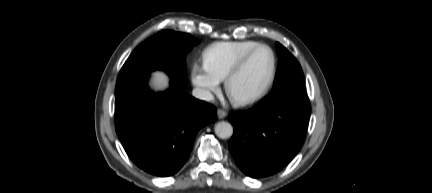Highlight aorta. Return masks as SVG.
Masks as SVG:
<instances>
[{
    "label": "aorta",
    "instance_id": "1",
    "mask_svg": "<svg viewBox=\"0 0 432 193\" xmlns=\"http://www.w3.org/2000/svg\"><path fill=\"white\" fill-rule=\"evenodd\" d=\"M214 130L215 134L221 139L229 138L233 134V126L226 121L218 122L215 125Z\"/></svg>",
    "mask_w": 432,
    "mask_h": 193
}]
</instances>
